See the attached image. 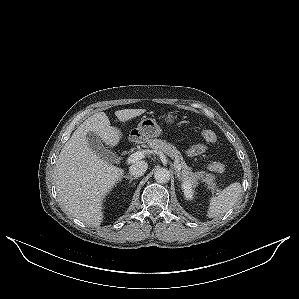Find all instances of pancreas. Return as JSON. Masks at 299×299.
Instances as JSON below:
<instances>
[{
	"label": "pancreas",
	"mask_w": 299,
	"mask_h": 299,
	"mask_svg": "<svg viewBox=\"0 0 299 299\" xmlns=\"http://www.w3.org/2000/svg\"><path fill=\"white\" fill-rule=\"evenodd\" d=\"M148 146L154 150H161L166 155L175 159V164L180 165L181 174L183 178L189 179L194 183H198L201 181L205 183L212 192L218 191V188L215 183V175L211 173H207L205 171L193 172L191 167H188L181 153L177 150V148L166 141L161 139H150L147 142Z\"/></svg>",
	"instance_id": "1"
}]
</instances>
